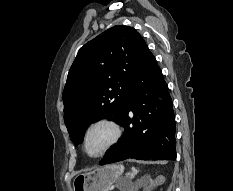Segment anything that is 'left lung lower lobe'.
<instances>
[{
  "mask_svg": "<svg viewBox=\"0 0 233 191\" xmlns=\"http://www.w3.org/2000/svg\"><path fill=\"white\" fill-rule=\"evenodd\" d=\"M130 112L134 114L132 118ZM119 123L124 126L125 134L100 165L129 158L176 159L172 99L152 53L131 84Z\"/></svg>",
  "mask_w": 233,
  "mask_h": 191,
  "instance_id": "obj_1",
  "label": "left lung lower lobe"
}]
</instances>
